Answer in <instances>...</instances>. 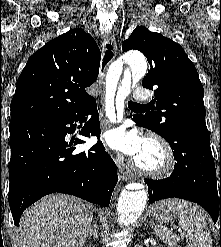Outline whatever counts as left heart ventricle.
Masks as SVG:
<instances>
[{"label":"left heart ventricle","mask_w":221,"mask_h":247,"mask_svg":"<svg viewBox=\"0 0 221 247\" xmlns=\"http://www.w3.org/2000/svg\"><path fill=\"white\" fill-rule=\"evenodd\" d=\"M136 159L142 166L149 168L158 167L162 163V155L158 149L147 142H145Z\"/></svg>","instance_id":"b2bd125f"}]
</instances>
